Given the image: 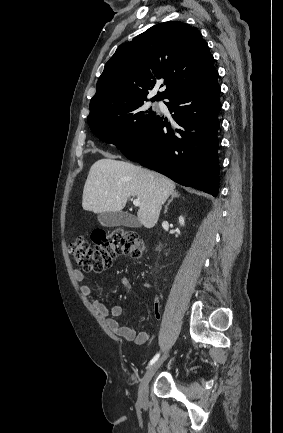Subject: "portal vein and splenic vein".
I'll list each match as a JSON object with an SVG mask.
<instances>
[{
	"instance_id": "portal-vein-and-splenic-vein-1",
	"label": "portal vein and splenic vein",
	"mask_w": 283,
	"mask_h": 433,
	"mask_svg": "<svg viewBox=\"0 0 283 433\" xmlns=\"http://www.w3.org/2000/svg\"><path fill=\"white\" fill-rule=\"evenodd\" d=\"M133 204H135V206H140L141 200H139V198H134Z\"/></svg>"
}]
</instances>
